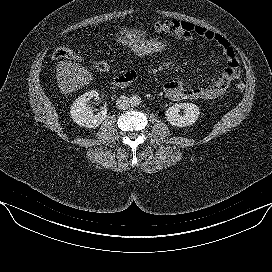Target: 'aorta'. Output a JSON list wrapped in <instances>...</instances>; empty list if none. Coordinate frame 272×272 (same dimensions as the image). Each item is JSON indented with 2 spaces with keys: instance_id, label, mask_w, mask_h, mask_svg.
<instances>
[{
  "instance_id": "762f6f07",
  "label": "aorta",
  "mask_w": 272,
  "mask_h": 272,
  "mask_svg": "<svg viewBox=\"0 0 272 272\" xmlns=\"http://www.w3.org/2000/svg\"><path fill=\"white\" fill-rule=\"evenodd\" d=\"M131 106H138L141 103V98L138 95H132L130 97Z\"/></svg>"
}]
</instances>
